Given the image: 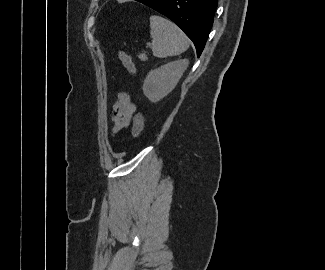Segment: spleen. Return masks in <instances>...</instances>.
<instances>
[{"label":"spleen","mask_w":325,"mask_h":270,"mask_svg":"<svg viewBox=\"0 0 325 270\" xmlns=\"http://www.w3.org/2000/svg\"><path fill=\"white\" fill-rule=\"evenodd\" d=\"M150 36L153 54L159 58L180 55L189 47V40L183 31L161 16L150 17Z\"/></svg>","instance_id":"3e777b00"}]
</instances>
